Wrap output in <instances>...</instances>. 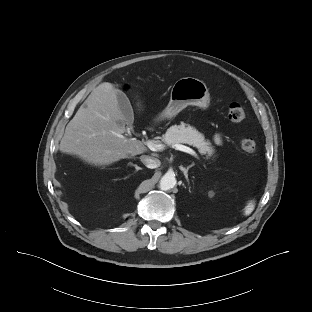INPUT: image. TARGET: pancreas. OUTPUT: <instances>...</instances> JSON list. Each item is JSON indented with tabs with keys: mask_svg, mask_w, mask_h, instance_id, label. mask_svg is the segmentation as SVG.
Masks as SVG:
<instances>
[{
	"mask_svg": "<svg viewBox=\"0 0 312 312\" xmlns=\"http://www.w3.org/2000/svg\"><path fill=\"white\" fill-rule=\"evenodd\" d=\"M163 140L170 147H174L176 144H188L196 147L202 155H206L207 159L215 153L211 142L206 140L196 128L185 123L171 126L163 136Z\"/></svg>",
	"mask_w": 312,
	"mask_h": 312,
	"instance_id": "1",
	"label": "pancreas"
}]
</instances>
